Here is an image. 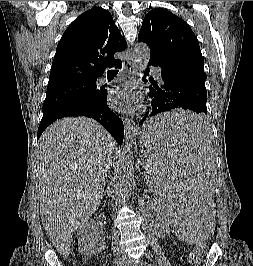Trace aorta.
I'll return each mask as SVG.
<instances>
[{
	"mask_svg": "<svg viewBox=\"0 0 253 266\" xmlns=\"http://www.w3.org/2000/svg\"><path fill=\"white\" fill-rule=\"evenodd\" d=\"M133 56L136 62V69L138 73L143 74L150 59L149 47L144 43L136 44L134 47ZM117 170L119 192L121 197L126 199L131 193L135 184L133 157L129 153H124L122 155Z\"/></svg>",
	"mask_w": 253,
	"mask_h": 266,
	"instance_id": "obj_1",
	"label": "aorta"
}]
</instances>
